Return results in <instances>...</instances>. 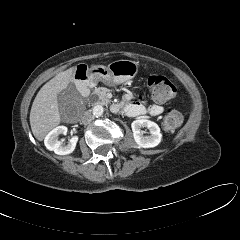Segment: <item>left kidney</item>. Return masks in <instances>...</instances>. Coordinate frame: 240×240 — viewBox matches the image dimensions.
<instances>
[{
    "mask_svg": "<svg viewBox=\"0 0 240 240\" xmlns=\"http://www.w3.org/2000/svg\"><path fill=\"white\" fill-rule=\"evenodd\" d=\"M131 128L134 140L139 147L153 148L160 144L162 135L159 126L155 122L147 119H139L132 122ZM142 128H147L150 136H144Z\"/></svg>",
    "mask_w": 240,
    "mask_h": 240,
    "instance_id": "5707ae66",
    "label": "left kidney"
}]
</instances>
